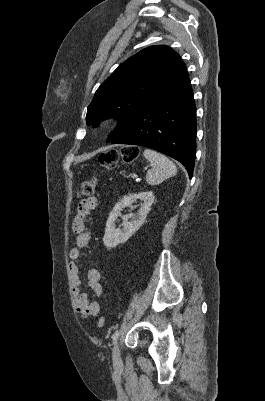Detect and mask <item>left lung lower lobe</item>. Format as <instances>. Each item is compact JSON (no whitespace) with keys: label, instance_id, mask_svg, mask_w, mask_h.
<instances>
[{"label":"left lung lower lobe","instance_id":"obj_1","mask_svg":"<svg viewBox=\"0 0 265 401\" xmlns=\"http://www.w3.org/2000/svg\"><path fill=\"white\" fill-rule=\"evenodd\" d=\"M196 106L187 69L110 142L152 148L179 162L192 178Z\"/></svg>","mask_w":265,"mask_h":401}]
</instances>
